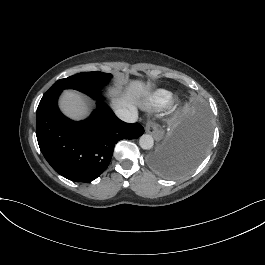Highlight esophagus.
Instances as JSON below:
<instances>
[{"label":"esophagus","mask_w":265,"mask_h":265,"mask_svg":"<svg viewBox=\"0 0 265 265\" xmlns=\"http://www.w3.org/2000/svg\"><path fill=\"white\" fill-rule=\"evenodd\" d=\"M146 132L150 133L156 140H161L165 130L158 123L148 121L146 124Z\"/></svg>","instance_id":"1"}]
</instances>
